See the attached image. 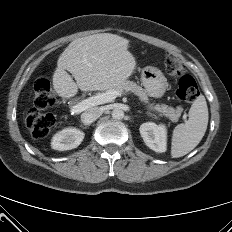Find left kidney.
I'll return each mask as SVG.
<instances>
[{"label":"left kidney","instance_id":"1","mask_svg":"<svg viewBox=\"0 0 232 232\" xmlns=\"http://www.w3.org/2000/svg\"><path fill=\"white\" fill-rule=\"evenodd\" d=\"M139 130L145 144L150 149L158 153L166 151L167 129L165 125L146 122L140 126Z\"/></svg>","mask_w":232,"mask_h":232}]
</instances>
